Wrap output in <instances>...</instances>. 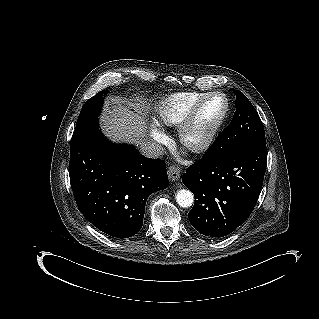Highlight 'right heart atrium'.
I'll use <instances>...</instances> for the list:
<instances>
[{"label": "right heart atrium", "mask_w": 319, "mask_h": 319, "mask_svg": "<svg viewBox=\"0 0 319 319\" xmlns=\"http://www.w3.org/2000/svg\"><path fill=\"white\" fill-rule=\"evenodd\" d=\"M151 137L154 142H159L164 136L163 133L158 129V127L152 126Z\"/></svg>", "instance_id": "d8ad5b80"}]
</instances>
